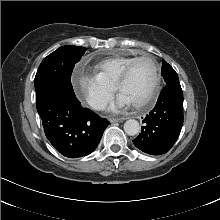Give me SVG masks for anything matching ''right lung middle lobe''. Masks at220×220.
I'll return each mask as SVG.
<instances>
[{
  "label": "right lung middle lobe",
  "instance_id": "1",
  "mask_svg": "<svg viewBox=\"0 0 220 220\" xmlns=\"http://www.w3.org/2000/svg\"><path fill=\"white\" fill-rule=\"evenodd\" d=\"M85 51V47L66 45L45 57L35 76L36 99L56 87L73 90L71 74Z\"/></svg>",
  "mask_w": 220,
  "mask_h": 220
}]
</instances>
